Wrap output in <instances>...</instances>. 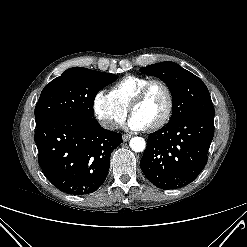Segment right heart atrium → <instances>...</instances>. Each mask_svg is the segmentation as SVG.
Here are the masks:
<instances>
[{"instance_id":"d8ad5b80","label":"right heart atrium","mask_w":247,"mask_h":247,"mask_svg":"<svg viewBox=\"0 0 247 247\" xmlns=\"http://www.w3.org/2000/svg\"><path fill=\"white\" fill-rule=\"evenodd\" d=\"M93 112L100 124L109 130L115 129L126 118L128 109L120 105L110 93L98 91L93 98Z\"/></svg>"}]
</instances>
